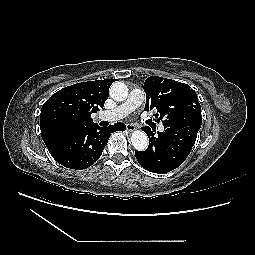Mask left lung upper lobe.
<instances>
[{
    "label": "left lung upper lobe",
    "mask_w": 255,
    "mask_h": 255,
    "mask_svg": "<svg viewBox=\"0 0 255 255\" xmlns=\"http://www.w3.org/2000/svg\"><path fill=\"white\" fill-rule=\"evenodd\" d=\"M146 111L157 110L163 125L202 121L196 92L185 83L152 76L145 80Z\"/></svg>",
    "instance_id": "left-lung-upper-lobe-1"
}]
</instances>
